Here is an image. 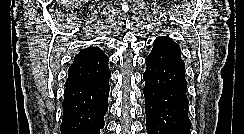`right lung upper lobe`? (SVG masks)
Segmentation results:
<instances>
[{"label": "right lung upper lobe", "instance_id": "1", "mask_svg": "<svg viewBox=\"0 0 244 134\" xmlns=\"http://www.w3.org/2000/svg\"><path fill=\"white\" fill-rule=\"evenodd\" d=\"M108 57L98 47H87L75 57L69 67L66 85L93 82L111 74L108 67Z\"/></svg>", "mask_w": 244, "mask_h": 134}]
</instances>
